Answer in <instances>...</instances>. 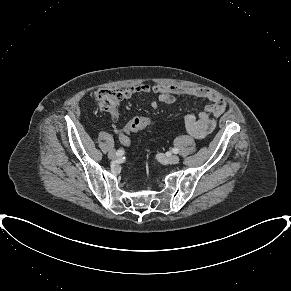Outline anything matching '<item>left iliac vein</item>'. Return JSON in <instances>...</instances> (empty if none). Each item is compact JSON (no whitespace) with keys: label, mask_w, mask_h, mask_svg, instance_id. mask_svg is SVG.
Masks as SVG:
<instances>
[{"label":"left iliac vein","mask_w":291,"mask_h":291,"mask_svg":"<svg viewBox=\"0 0 291 291\" xmlns=\"http://www.w3.org/2000/svg\"><path fill=\"white\" fill-rule=\"evenodd\" d=\"M157 158L159 161L163 163H169V164H177L180 161V158L177 155L165 156L162 153H159L157 155Z\"/></svg>","instance_id":"4c4485c4"}]
</instances>
